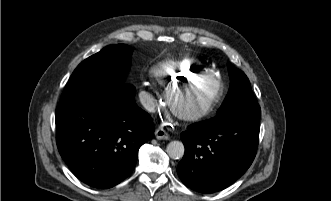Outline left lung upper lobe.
Instances as JSON below:
<instances>
[{"instance_id":"1","label":"left lung upper lobe","mask_w":331,"mask_h":201,"mask_svg":"<svg viewBox=\"0 0 331 201\" xmlns=\"http://www.w3.org/2000/svg\"><path fill=\"white\" fill-rule=\"evenodd\" d=\"M231 85L218 114L234 109L250 108L258 106L255 96L252 93L249 79L245 73L228 63Z\"/></svg>"}]
</instances>
